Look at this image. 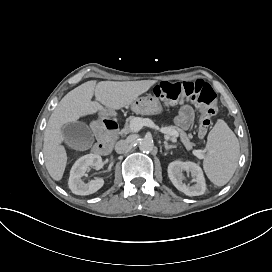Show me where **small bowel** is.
Segmentation results:
<instances>
[{"instance_id": "obj_1", "label": "small bowel", "mask_w": 272, "mask_h": 272, "mask_svg": "<svg viewBox=\"0 0 272 272\" xmlns=\"http://www.w3.org/2000/svg\"><path fill=\"white\" fill-rule=\"evenodd\" d=\"M193 109L189 105H184L176 117V124L182 129H188L193 121Z\"/></svg>"}]
</instances>
